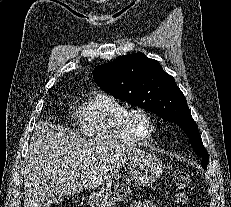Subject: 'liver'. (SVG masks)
<instances>
[{
  "label": "liver",
  "mask_w": 231,
  "mask_h": 207,
  "mask_svg": "<svg viewBox=\"0 0 231 207\" xmlns=\"http://www.w3.org/2000/svg\"><path fill=\"white\" fill-rule=\"evenodd\" d=\"M137 148L72 135L39 122L29 144L24 176V207H43L50 195L66 196L96 188L114 176Z\"/></svg>",
  "instance_id": "1"
}]
</instances>
